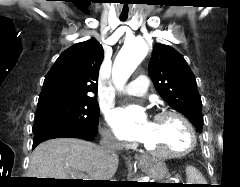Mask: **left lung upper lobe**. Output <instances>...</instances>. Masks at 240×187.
<instances>
[{"instance_id":"5c2ea615","label":"left lung upper lobe","mask_w":240,"mask_h":187,"mask_svg":"<svg viewBox=\"0 0 240 187\" xmlns=\"http://www.w3.org/2000/svg\"><path fill=\"white\" fill-rule=\"evenodd\" d=\"M148 73L159 95L174 109L184 114L201 133L202 102L196 79L181 54L168 45L156 44Z\"/></svg>"}]
</instances>
